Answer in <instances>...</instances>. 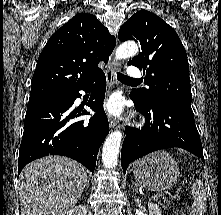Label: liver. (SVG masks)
Listing matches in <instances>:
<instances>
[{"instance_id": "liver-1", "label": "liver", "mask_w": 221, "mask_h": 215, "mask_svg": "<svg viewBox=\"0 0 221 215\" xmlns=\"http://www.w3.org/2000/svg\"><path fill=\"white\" fill-rule=\"evenodd\" d=\"M79 162L46 156L26 165L20 175L21 215H63L78 202L88 179Z\"/></svg>"}]
</instances>
